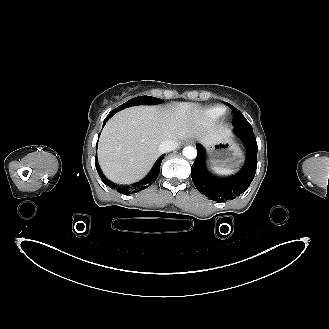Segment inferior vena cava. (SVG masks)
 Returning a JSON list of instances; mask_svg holds the SVG:
<instances>
[{"label":"inferior vena cava","mask_w":329,"mask_h":329,"mask_svg":"<svg viewBox=\"0 0 329 329\" xmlns=\"http://www.w3.org/2000/svg\"><path fill=\"white\" fill-rule=\"evenodd\" d=\"M177 147H178V143L176 141L167 139L160 143L159 150L162 153H165V152L172 151V150L176 149Z\"/></svg>","instance_id":"602c4592"}]
</instances>
